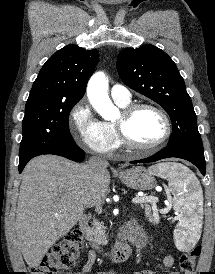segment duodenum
<instances>
[{"label":"duodenum","instance_id":"1","mask_svg":"<svg viewBox=\"0 0 215 274\" xmlns=\"http://www.w3.org/2000/svg\"><path fill=\"white\" fill-rule=\"evenodd\" d=\"M78 229L88 241L92 249L101 251L99 245L94 242L88 234V216L82 215L78 220ZM131 254V246L127 241L117 243L109 252H106V257L114 263L125 262Z\"/></svg>","mask_w":215,"mask_h":274}]
</instances>
